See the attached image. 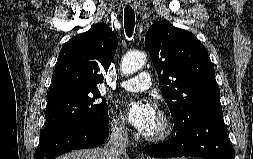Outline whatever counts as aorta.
<instances>
[{
    "instance_id": "1",
    "label": "aorta",
    "mask_w": 253,
    "mask_h": 159,
    "mask_svg": "<svg viewBox=\"0 0 253 159\" xmlns=\"http://www.w3.org/2000/svg\"><path fill=\"white\" fill-rule=\"evenodd\" d=\"M146 63V54L143 52H127L122 58L121 71L129 75L141 69Z\"/></svg>"
}]
</instances>
